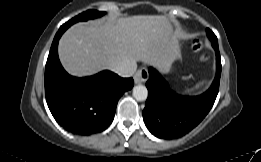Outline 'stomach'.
I'll list each match as a JSON object with an SVG mask.
<instances>
[{"label": "stomach", "instance_id": "0dacf381", "mask_svg": "<svg viewBox=\"0 0 261 162\" xmlns=\"http://www.w3.org/2000/svg\"><path fill=\"white\" fill-rule=\"evenodd\" d=\"M179 47H177V50H176V57L175 59L179 56ZM172 62H170L168 65H166L165 67L162 68V70L166 73L170 72L172 70Z\"/></svg>", "mask_w": 261, "mask_h": 162}]
</instances>
